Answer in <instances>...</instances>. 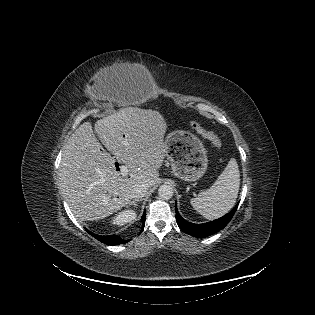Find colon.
I'll use <instances>...</instances> for the list:
<instances>
[{"label": "colon", "mask_w": 315, "mask_h": 315, "mask_svg": "<svg viewBox=\"0 0 315 315\" xmlns=\"http://www.w3.org/2000/svg\"><path fill=\"white\" fill-rule=\"evenodd\" d=\"M192 126L197 130L198 133H200L203 137L208 139L216 148L218 149L222 148V141L214 131L204 128L198 122H192Z\"/></svg>", "instance_id": "1"}]
</instances>
